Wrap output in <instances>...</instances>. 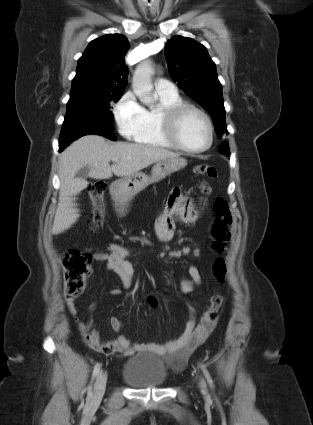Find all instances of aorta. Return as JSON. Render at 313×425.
<instances>
[{"label": "aorta", "mask_w": 313, "mask_h": 425, "mask_svg": "<svg viewBox=\"0 0 313 425\" xmlns=\"http://www.w3.org/2000/svg\"><path fill=\"white\" fill-rule=\"evenodd\" d=\"M154 70L149 60L140 63L135 69L132 88L139 100L148 106H152L154 101L152 98L153 85L151 81Z\"/></svg>", "instance_id": "1"}]
</instances>
